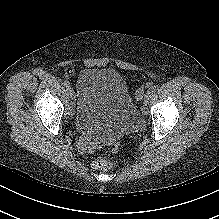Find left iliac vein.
<instances>
[{
	"mask_svg": "<svg viewBox=\"0 0 219 219\" xmlns=\"http://www.w3.org/2000/svg\"><path fill=\"white\" fill-rule=\"evenodd\" d=\"M138 96L140 97V99H143V106H142L143 113H147L148 111L147 106L149 104L150 94L144 93L143 90H139Z\"/></svg>",
	"mask_w": 219,
	"mask_h": 219,
	"instance_id": "obj_1",
	"label": "left iliac vein"
}]
</instances>
